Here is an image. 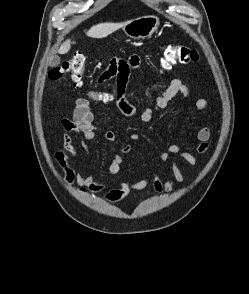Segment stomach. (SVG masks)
Here are the masks:
<instances>
[{
    "label": "stomach",
    "instance_id": "1",
    "mask_svg": "<svg viewBox=\"0 0 249 294\" xmlns=\"http://www.w3.org/2000/svg\"><path fill=\"white\" fill-rule=\"evenodd\" d=\"M159 18L154 15H147L135 18L123 26V31L127 37L134 40L149 38L157 30Z\"/></svg>",
    "mask_w": 249,
    "mask_h": 294
}]
</instances>
